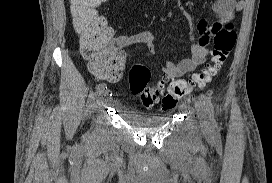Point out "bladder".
Masks as SVG:
<instances>
[{
	"instance_id": "bladder-1",
	"label": "bladder",
	"mask_w": 272,
	"mask_h": 183,
	"mask_svg": "<svg viewBox=\"0 0 272 183\" xmlns=\"http://www.w3.org/2000/svg\"><path fill=\"white\" fill-rule=\"evenodd\" d=\"M124 120L133 127L150 130L163 127L169 122V115L143 116L134 112H125Z\"/></svg>"
}]
</instances>
